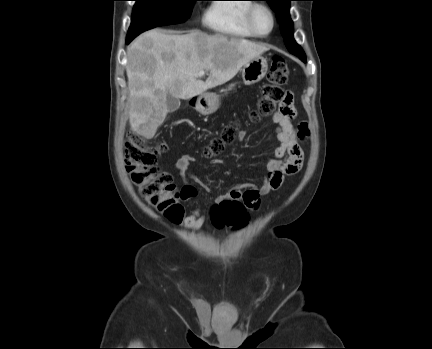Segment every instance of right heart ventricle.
Wrapping results in <instances>:
<instances>
[{"label": "right heart ventricle", "instance_id": "right-heart-ventricle-1", "mask_svg": "<svg viewBox=\"0 0 432 349\" xmlns=\"http://www.w3.org/2000/svg\"><path fill=\"white\" fill-rule=\"evenodd\" d=\"M234 2V3H228ZM251 0H214L204 15L205 25L213 32L236 39L255 37L246 26L245 16Z\"/></svg>", "mask_w": 432, "mask_h": 349}]
</instances>
